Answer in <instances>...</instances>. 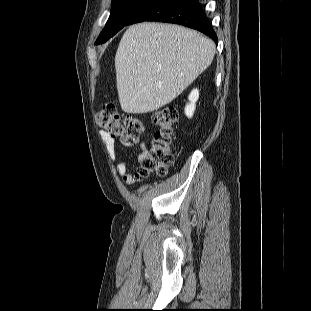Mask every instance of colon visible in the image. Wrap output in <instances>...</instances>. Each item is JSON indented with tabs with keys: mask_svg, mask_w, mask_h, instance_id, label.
I'll list each match as a JSON object with an SVG mask.
<instances>
[{
	"mask_svg": "<svg viewBox=\"0 0 311 311\" xmlns=\"http://www.w3.org/2000/svg\"><path fill=\"white\" fill-rule=\"evenodd\" d=\"M97 124L124 139L138 141L145 132V121L130 115H121L114 105H105L96 116ZM157 131L151 146L138 167V177L151 173L164 175L173 163V129L177 112L172 107L157 110L153 115Z\"/></svg>",
	"mask_w": 311,
	"mask_h": 311,
	"instance_id": "1",
	"label": "colon"
}]
</instances>
